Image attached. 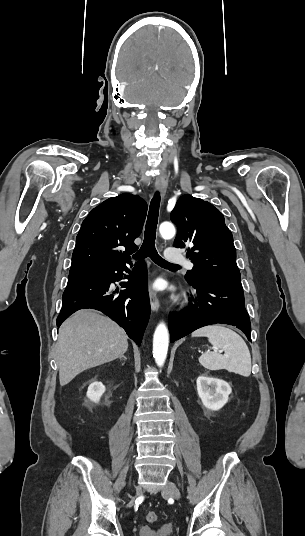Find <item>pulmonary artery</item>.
Listing matches in <instances>:
<instances>
[{
	"mask_svg": "<svg viewBox=\"0 0 305 536\" xmlns=\"http://www.w3.org/2000/svg\"><path fill=\"white\" fill-rule=\"evenodd\" d=\"M177 253V248L174 245H169L167 247V251L163 253V258L165 260H168V262L171 264L182 262L184 260V257L182 255H177ZM184 263L188 268H193V263L191 261H184Z\"/></svg>",
	"mask_w": 305,
	"mask_h": 536,
	"instance_id": "obj_1",
	"label": "pulmonary artery"
}]
</instances>
